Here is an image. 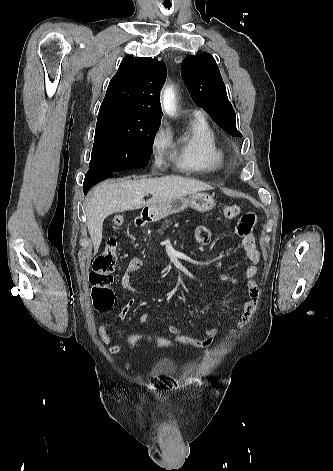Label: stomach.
<instances>
[{"mask_svg": "<svg viewBox=\"0 0 333 471\" xmlns=\"http://www.w3.org/2000/svg\"><path fill=\"white\" fill-rule=\"evenodd\" d=\"M191 207L199 212H208L216 206L215 199L206 193H193L189 197L180 196L169 201L147 207L148 220L158 221L171 214L179 213Z\"/></svg>", "mask_w": 333, "mask_h": 471, "instance_id": "0dacf381", "label": "stomach"}]
</instances>
